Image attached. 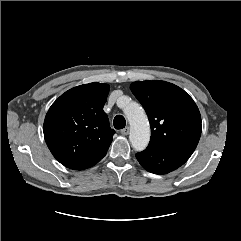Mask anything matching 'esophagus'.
Instances as JSON below:
<instances>
[{"label": "esophagus", "instance_id": "obj_1", "mask_svg": "<svg viewBox=\"0 0 241 241\" xmlns=\"http://www.w3.org/2000/svg\"><path fill=\"white\" fill-rule=\"evenodd\" d=\"M130 128L129 127H125L124 129L121 130V134L126 136L129 134Z\"/></svg>", "mask_w": 241, "mask_h": 241}]
</instances>
